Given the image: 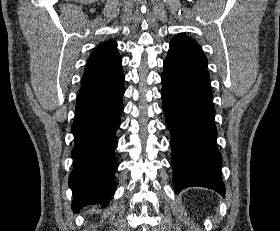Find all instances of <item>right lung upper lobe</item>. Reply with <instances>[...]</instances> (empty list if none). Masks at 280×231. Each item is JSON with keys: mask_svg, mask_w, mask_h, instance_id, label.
<instances>
[{"mask_svg": "<svg viewBox=\"0 0 280 231\" xmlns=\"http://www.w3.org/2000/svg\"><path fill=\"white\" fill-rule=\"evenodd\" d=\"M116 46L115 41H107L91 53L76 101L92 99L123 85L122 59Z\"/></svg>", "mask_w": 280, "mask_h": 231, "instance_id": "right-lung-upper-lobe-1", "label": "right lung upper lobe"}]
</instances>
